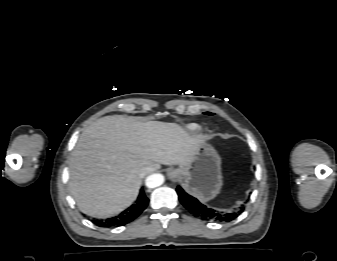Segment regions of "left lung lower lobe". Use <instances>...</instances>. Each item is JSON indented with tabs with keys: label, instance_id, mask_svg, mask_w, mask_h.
Returning a JSON list of instances; mask_svg holds the SVG:
<instances>
[{
	"label": "left lung lower lobe",
	"instance_id": "0a47b994",
	"mask_svg": "<svg viewBox=\"0 0 337 261\" xmlns=\"http://www.w3.org/2000/svg\"><path fill=\"white\" fill-rule=\"evenodd\" d=\"M176 191L183 206L193 216L205 221L229 222L244 211V206H241L237 212H220L213 210L201 204L196 198L187 194L180 186L177 187Z\"/></svg>",
	"mask_w": 337,
	"mask_h": 261
}]
</instances>
